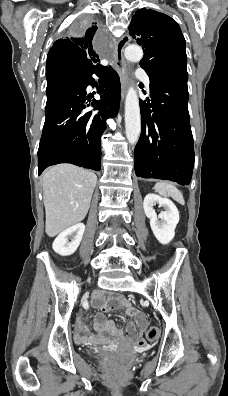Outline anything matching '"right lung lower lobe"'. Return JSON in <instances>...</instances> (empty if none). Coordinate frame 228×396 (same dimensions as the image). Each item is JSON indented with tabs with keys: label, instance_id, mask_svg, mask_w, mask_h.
I'll return each instance as SVG.
<instances>
[{
	"label": "right lung lower lobe",
	"instance_id": "98d812e1",
	"mask_svg": "<svg viewBox=\"0 0 228 396\" xmlns=\"http://www.w3.org/2000/svg\"><path fill=\"white\" fill-rule=\"evenodd\" d=\"M95 75L98 82L93 78ZM88 85L98 86L100 100L86 96ZM120 94L119 76L111 67H81L47 95L46 119L38 149L39 175L58 163L99 171L105 121L116 116Z\"/></svg>",
	"mask_w": 228,
	"mask_h": 396
}]
</instances>
